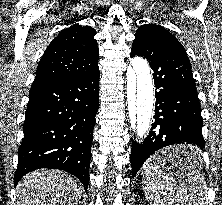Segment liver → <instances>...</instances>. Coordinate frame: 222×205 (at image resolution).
I'll use <instances>...</instances> for the list:
<instances>
[{"mask_svg": "<svg viewBox=\"0 0 222 205\" xmlns=\"http://www.w3.org/2000/svg\"><path fill=\"white\" fill-rule=\"evenodd\" d=\"M83 185L60 170H36L24 176L16 187V205H75Z\"/></svg>", "mask_w": 222, "mask_h": 205, "instance_id": "obj_1", "label": "liver"}]
</instances>
